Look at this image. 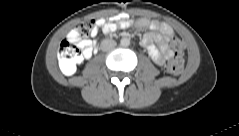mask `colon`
I'll list each match as a JSON object with an SVG mask.
<instances>
[{
	"instance_id": "colon-1",
	"label": "colon",
	"mask_w": 239,
	"mask_h": 136,
	"mask_svg": "<svg viewBox=\"0 0 239 136\" xmlns=\"http://www.w3.org/2000/svg\"><path fill=\"white\" fill-rule=\"evenodd\" d=\"M95 29L96 21L94 19H88L79 22L76 25L75 32L79 38H88L93 35ZM172 48L175 56L165 64L164 70L171 76H178L183 70V41L179 38H173ZM80 60V47L68 37L60 44L58 49L59 67L64 73L71 74L75 71Z\"/></svg>"
}]
</instances>
